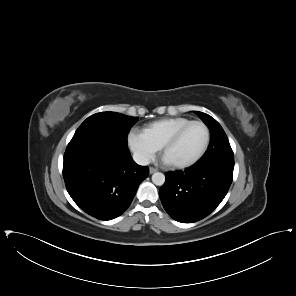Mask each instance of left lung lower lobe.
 Returning a JSON list of instances; mask_svg holds the SVG:
<instances>
[{
	"label": "left lung lower lobe",
	"instance_id": "left-lung-lower-lobe-1",
	"mask_svg": "<svg viewBox=\"0 0 296 296\" xmlns=\"http://www.w3.org/2000/svg\"><path fill=\"white\" fill-rule=\"evenodd\" d=\"M234 159L195 164L184 172L166 173L159 190L166 212L179 222L192 223L209 215L232 183Z\"/></svg>",
	"mask_w": 296,
	"mask_h": 296
}]
</instances>
